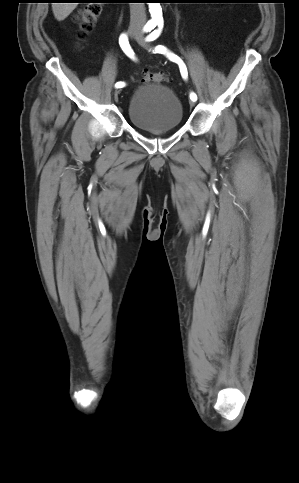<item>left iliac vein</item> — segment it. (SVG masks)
Returning <instances> with one entry per match:
<instances>
[{
  "label": "left iliac vein",
  "instance_id": "4c4485c4",
  "mask_svg": "<svg viewBox=\"0 0 299 483\" xmlns=\"http://www.w3.org/2000/svg\"><path fill=\"white\" fill-rule=\"evenodd\" d=\"M137 41L140 45H142L143 47L145 48H150V45L144 40L143 36L141 34H139V36L137 37ZM189 104L190 106H194L195 105V102L190 100L189 101Z\"/></svg>",
  "mask_w": 299,
  "mask_h": 483
}]
</instances>
